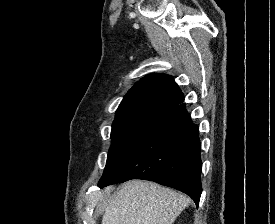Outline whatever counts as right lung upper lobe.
<instances>
[{
	"mask_svg": "<svg viewBox=\"0 0 275 224\" xmlns=\"http://www.w3.org/2000/svg\"><path fill=\"white\" fill-rule=\"evenodd\" d=\"M183 101V93L171 76L148 75L137 82L125 95L116 111V118L145 110L167 112Z\"/></svg>",
	"mask_w": 275,
	"mask_h": 224,
	"instance_id": "cb5924a9",
	"label": "right lung upper lobe"
}]
</instances>
